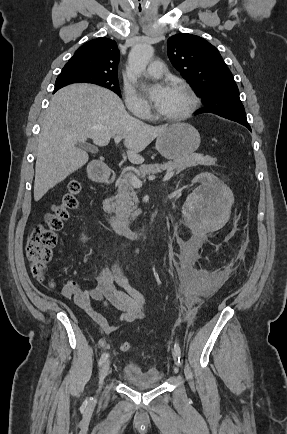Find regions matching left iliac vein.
Returning <instances> with one entry per match:
<instances>
[{
	"label": "left iliac vein",
	"mask_w": 287,
	"mask_h": 434,
	"mask_svg": "<svg viewBox=\"0 0 287 434\" xmlns=\"http://www.w3.org/2000/svg\"><path fill=\"white\" fill-rule=\"evenodd\" d=\"M173 358L177 359V353L175 350H173ZM175 371L178 372V369L176 368Z\"/></svg>",
	"instance_id": "1"
}]
</instances>
